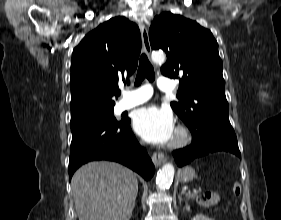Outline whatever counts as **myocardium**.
<instances>
[{
  "mask_svg": "<svg viewBox=\"0 0 281 220\" xmlns=\"http://www.w3.org/2000/svg\"><path fill=\"white\" fill-rule=\"evenodd\" d=\"M191 141V132L183 124H179L175 130V138L170 142L169 147L173 149L186 146Z\"/></svg>",
  "mask_w": 281,
  "mask_h": 220,
  "instance_id": "obj_1",
  "label": "myocardium"
}]
</instances>
